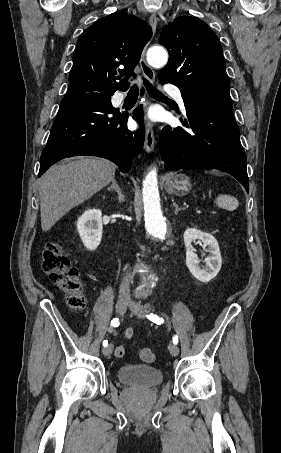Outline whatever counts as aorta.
<instances>
[{"mask_svg":"<svg viewBox=\"0 0 281 453\" xmlns=\"http://www.w3.org/2000/svg\"><path fill=\"white\" fill-rule=\"evenodd\" d=\"M168 61V53L163 47L155 46L147 52V62L153 68H162ZM143 203L146 231L154 238L164 240L168 234V226L161 211L160 196L156 168L151 169L143 181ZM157 279L154 274L142 279V287L146 289Z\"/></svg>","mask_w":281,"mask_h":453,"instance_id":"762f6f07","label":"aorta"}]
</instances>
